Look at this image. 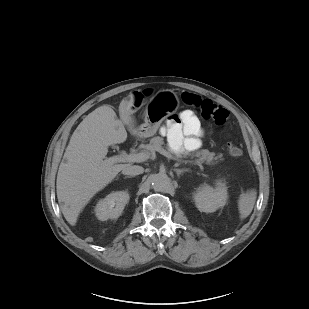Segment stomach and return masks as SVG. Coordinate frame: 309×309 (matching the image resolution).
Segmentation results:
<instances>
[{"label": "stomach", "mask_w": 309, "mask_h": 309, "mask_svg": "<svg viewBox=\"0 0 309 309\" xmlns=\"http://www.w3.org/2000/svg\"><path fill=\"white\" fill-rule=\"evenodd\" d=\"M179 103L174 91L169 89L158 91L150 98L145 108L144 123L135 130V134L142 138L153 136L161 123L177 111Z\"/></svg>", "instance_id": "obj_1"}]
</instances>
